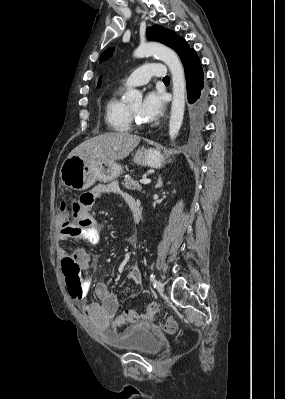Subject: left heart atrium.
<instances>
[{
	"mask_svg": "<svg viewBox=\"0 0 285 399\" xmlns=\"http://www.w3.org/2000/svg\"><path fill=\"white\" fill-rule=\"evenodd\" d=\"M164 104V98L160 93L148 92L141 103L139 111L141 118L148 122L158 119L163 113Z\"/></svg>",
	"mask_w": 285,
	"mask_h": 399,
	"instance_id": "left-heart-atrium-1",
	"label": "left heart atrium"
}]
</instances>
